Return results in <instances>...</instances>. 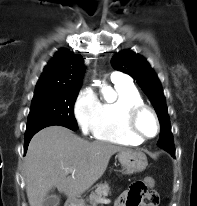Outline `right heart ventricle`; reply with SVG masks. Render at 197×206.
Returning a JSON list of instances; mask_svg holds the SVG:
<instances>
[{
    "label": "right heart ventricle",
    "mask_w": 197,
    "mask_h": 206,
    "mask_svg": "<svg viewBox=\"0 0 197 206\" xmlns=\"http://www.w3.org/2000/svg\"><path fill=\"white\" fill-rule=\"evenodd\" d=\"M116 100L100 103V112L93 128L97 140L120 145H140L142 141L131 135L124 121L125 111L134 105L144 104L142 96L131 82H113Z\"/></svg>",
    "instance_id": "1"
}]
</instances>
